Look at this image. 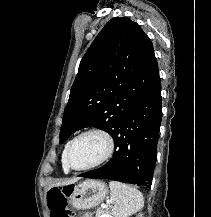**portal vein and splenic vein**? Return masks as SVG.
<instances>
[{"instance_id":"1","label":"portal vein and splenic vein","mask_w":211,"mask_h":217,"mask_svg":"<svg viewBox=\"0 0 211 217\" xmlns=\"http://www.w3.org/2000/svg\"><path fill=\"white\" fill-rule=\"evenodd\" d=\"M101 208H102V209H105V208H107V205H106V204H102V205H101Z\"/></svg>"}]
</instances>
